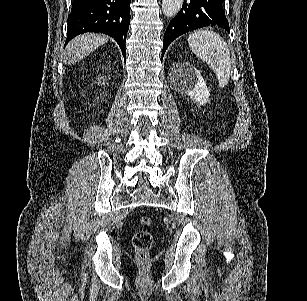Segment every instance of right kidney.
I'll use <instances>...</instances> for the list:
<instances>
[{
	"label": "right kidney",
	"mask_w": 307,
	"mask_h": 301,
	"mask_svg": "<svg viewBox=\"0 0 307 301\" xmlns=\"http://www.w3.org/2000/svg\"><path fill=\"white\" fill-rule=\"evenodd\" d=\"M105 78H103V76H101V78H98V84H100V82H104Z\"/></svg>",
	"instance_id": "obj_1"
}]
</instances>
